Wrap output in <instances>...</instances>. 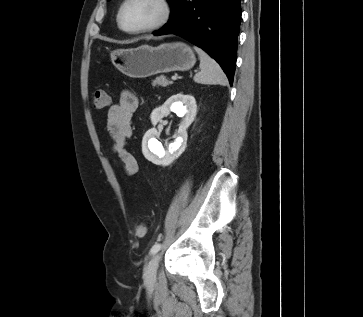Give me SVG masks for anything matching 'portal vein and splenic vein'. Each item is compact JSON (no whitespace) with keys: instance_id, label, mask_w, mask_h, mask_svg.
I'll return each mask as SVG.
<instances>
[{"instance_id":"portal-vein-and-splenic-vein-1","label":"portal vein and splenic vein","mask_w":363,"mask_h":317,"mask_svg":"<svg viewBox=\"0 0 363 317\" xmlns=\"http://www.w3.org/2000/svg\"><path fill=\"white\" fill-rule=\"evenodd\" d=\"M171 79H172V80H176V79H177V77H176V76H172V77H171Z\"/></svg>"}]
</instances>
